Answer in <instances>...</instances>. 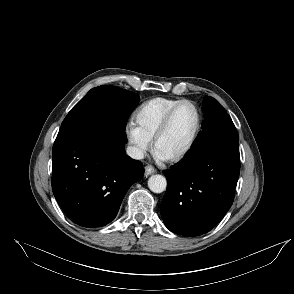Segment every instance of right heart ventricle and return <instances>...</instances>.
Returning <instances> with one entry per match:
<instances>
[{"instance_id": "e07e8e85", "label": "right heart ventricle", "mask_w": 294, "mask_h": 294, "mask_svg": "<svg viewBox=\"0 0 294 294\" xmlns=\"http://www.w3.org/2000/svg\"><path fill=\"white\" fill-rule=\"evenodd\" d=\"M183 99L156 97L143 103L135 114V122L150 140L159 128L167 112Z\"/></svg>"}]
</instances>
